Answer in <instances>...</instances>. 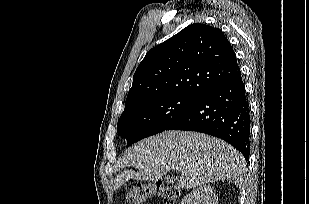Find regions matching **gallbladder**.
<instances>
[{"label":"gallbladder","instance_id":"bac80fb5","mask_svg":"<svg viewBox=\"0 0 309 204\" xmlns=\"http://www.w3.org/2000/svg\"><path fill=\"white\" fill-rule=\"evenodd\" d=\"M167 180L172 182L173 181V178L172 177H167Z\"/></svg>","mask_w":309,"mask_h":204}]
</instances>
